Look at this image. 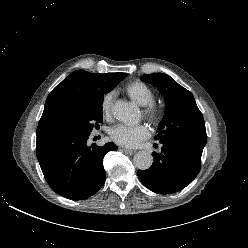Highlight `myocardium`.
<instances>
[{
	"label": "myocardium",
	"instance_id": "1",
	"mask_svg": "<svg viewBox=\"0 0 248 248\" xmlns=\"http://www.w3.org/2000/svg\"><path fill=\"white\" fill-rule=\"evenodd\" d=\"M163 108L156 102H151L143 106L144 116L153 123L159 122L163 117Z\"/></svg>",
	"mask_w": 248,
	"mask_h": 248
}]
</instances>
